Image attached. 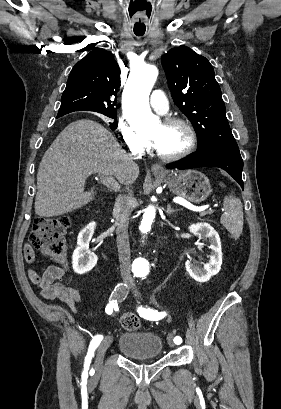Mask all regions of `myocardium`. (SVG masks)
Listing matches in <instances>:
<instances>
[{"label": "myocardium", "mask_w": 281, "mask_h": 409, "mask_svg": "<svg viewBox=\"0 0 281 409\" xmlns=\"http://www.w3.org/2000/svg\"><path fill=\"white\" fill-rule=\"evenodd\" d=\"M161 124L164 126H169L172 124H179L181 125L187 132V136H188V142L186 144V146L179 152L175 153V154H164L162 152H160L158 149H156L153 144L146 139V143L148 148L153 151L155 153V155L160 158L161 160L165 161V162H173V161H178L181 160L183 158H185L186 156H188L189 154L192 153V151L194 150L196 143H197V136H196V132L193 128V126L191 125V123L182 118V117H178V116H169L164 118L161 121Z\"/></svg>", "instance_id": "myocardium-1"}]
</instances>
